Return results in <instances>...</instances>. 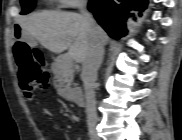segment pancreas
<instances>
[{"mask_svg":"<svg viewBox=\"0 0 182 140\" xmlns=\"http://www.w3.org/2000/svg\"><path fill=\"white\" fill-rule=\"evenodd\" d=\"M52 71L58 90H68L74 77L73 63L66 62L64 58L57 59L52 64Z\"/></svg>","mask_w":182,"mask_h":140,"instance_id":"pancreas-1","label":"pancreas"}]
</instances>
